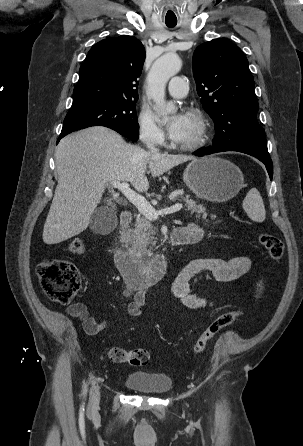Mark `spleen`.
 <instances>
[{"label":"spleen","mask_w":303,"mask_h":446,"mask_svg":"<svg viewBox=\"0 0 303 446\" xmlns=\"http://www.w3.org/2000/svg\"><path fill=\"white\" fill-rule=\"evenodd\" d=\"M242 206L251 220L259 223L265 220V207L262 197L256 188L249 190L243 200Z\"/></svg>","instance_id":"1"}]
</instances>
